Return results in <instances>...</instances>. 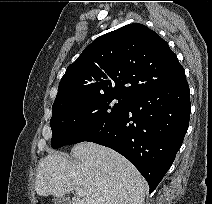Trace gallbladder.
I'll return each instance as SVG.
<instances>
[{"label": "gallbladder", "instance_id": "1", "mask_svg": "<svg viewBox=\"0 0 212 204\" xmlns=\"http://www.w3.org/2000/svg\"><path fill=\"white\" fill-rule=\"evenodd\" d=\"M54 204H71L69 198L66 197H56L54 200Z\"/></svg>", "mask_w": 212, "mask_h": 204}]
</instances>
